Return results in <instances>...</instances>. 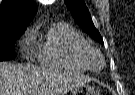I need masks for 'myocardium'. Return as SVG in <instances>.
Here are the masks:
<instances>
[{
    "instance_id": "myocardium-1",
    "label": "myocardium",
    "mask_w": 135,
    "mask_h": 95,
    "mask_svg": "<svg viewBox=\"0 0 135 95\" xmlns=\"http://www.w3.org/2000/svg\"><path fill=\"white\" fill-rule=\"evenodd\" d=\"M79 55L88 69L98 71L104 67L105 61H104L102 54L97 49H95L94 47H92L90 45H88L84 48H81L79 50ZM93 58H97L99 60L100 63L98 66H94L92 64Z\"/></svg>"
}]
</instances>
